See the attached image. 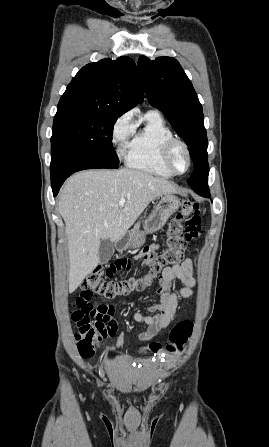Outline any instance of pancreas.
I'll return each mask as SVG.
<instances>
[{
  "label": "pancreas",
  "mask_w": 269,
  "mask_h": 447,
  "mask_svg": "<svg viewBox=\"0 0 269 447\" xmlns=\"http://www.w3.org/2000/svg\"><path fill=\"white\" fill-rule=\"evenodd\" d=\"M140 227V222H137V224L134 225L133 229H131L132 233H135V231H137V229H139Z\"/></svg>",
  "instance_id": "obj_1"
}]
</instances>
